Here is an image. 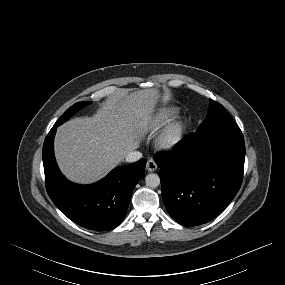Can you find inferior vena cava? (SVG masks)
Segmentation results:
<instances>
[{
  "mask_svg": "<svg viewBox=\"0 0 285 285\" xmlns=\"http://www.w3.org/2000/svg\"><path fill=\"white\" fill-rule=\"evenodd\" d=\"M142 157L141 152L139 151H132L126 156L127 162H136Z\"/></svg>",
  "mask_w": 285,
  "mask_h": 285,
  "instance_id": "obj_1",
  "label": "inferior vena cava"
}]
</instances>
